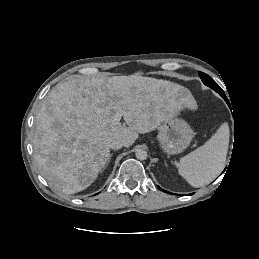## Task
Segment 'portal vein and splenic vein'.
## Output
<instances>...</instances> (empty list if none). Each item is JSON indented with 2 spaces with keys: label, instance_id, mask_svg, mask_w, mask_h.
Listing matches in <instances>:
<instances>
[{
  "label": "portal vein and splenic vein",
  "instance_id": "obj_1",
  "mask_svg": "<svg viewBox=\"0 0 259 259\" xmlns=\"http://www.w3.org/2000/svg\"><path fill=\"white\" fill-rule=\"evenodd\" d=\"M122 116H123V112H117L113 118L112 124L114 125L118 124Z\"/></svg>",
  "mask_w": 259,
  "mask_h": 259
}]
</instances>
